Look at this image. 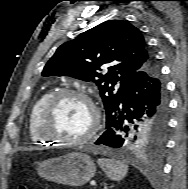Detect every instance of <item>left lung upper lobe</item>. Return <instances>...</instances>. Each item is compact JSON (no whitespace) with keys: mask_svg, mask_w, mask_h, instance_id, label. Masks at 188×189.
Instances as JSON below:
<instances>
[{"mask_svg":"<svg viewBox=\"0 0 188 189\" xmlns=\"http://www.w3.org/2000/svg\"><path fill=\"white\" fill-rule=\"evenodd\" d=\"M154 59L138 28L123 20H109L62 44L47 62L42 75L94 81L99 87L107 120L120 105L126 83ZM102 66L107 67L106 74L100 72ZM117 82L120 88L114 91ZM166 128V125L146 124L132 129L126 147H146L160 153Z\"/></svg>","mask_w":188,"mask_h":189,"instance_id":"obj_1","label":"left lung upper lobe"}]
</instances>
